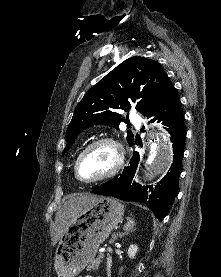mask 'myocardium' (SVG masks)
I'll return each instance as SVG.
<instances>
[{"instance_id":"f54148a6","label":"myocardium","mask_w":221,"mask_h":277,"mask_svg":"<svg viewBox=\"0 0 221 277\" xmlns=\"http://www.w3.org/2000/svg\"><path fill=\"white\" fill-rule=\"evenodd\" d=\"M102 144H107L110 145L116 154V161L114 166L105 174L94 178V179H83L80 174H79V165L80 162L82 160V158L85 156V154H87L91 149H93L96 146L102 145ZM124 149L123 146L121 145V143L119 141H117L116 139L112 138V137H101L99 139L94 140L93 142H91L90 144H88L78 155V157L76 158L75 164H74V173H75V177L82 183H86V184H92V183H97V182H101L104 181L106 179H109L111 177H113L114 175H116L120 169L122 168L123 164H124Z\"/></svg>"}]
</instances>
